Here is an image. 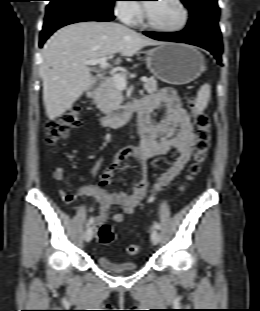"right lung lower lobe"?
I'll list each match as a JSON object with an SVG mask.
<instances>
[{
	"mask_svg": "<svg viewBox=\"0 0 260 311\" xmlns=\"http://www.w3.org/2000/svg\"><path fill=\"white\" fill-rule=\"evenodd\" d=\"M114 15L103 12L78 0H50L46 8L45 23L40 35L39 46L57 29L83 21H111Z\"/></svg>",
	"mask_w": 260,
	"mask_h": 311,
	"instance_id": "98d812e1",
	"label": "right lung lower lobe"
}]
</instances>
